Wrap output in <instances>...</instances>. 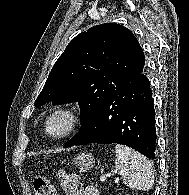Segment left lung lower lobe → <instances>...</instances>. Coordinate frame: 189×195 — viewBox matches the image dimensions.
<instances>
[{
    "mask_svg": "<svg viewBox=\"0 0 189 195\" xmlns=\"http://www.w3.org/2000/svg\"><path fill=\"white\" fill-rule=\"evenodd\" d=\"M89 143L123 144L155 158V111L144 73L112 92L64 147Z\"/></svg>",
    "mask_w": 189,
    "mask_h": 195,
    "instance_id": "obj_1",
    "label": "left lung lower lobe"
}]
</instances>
